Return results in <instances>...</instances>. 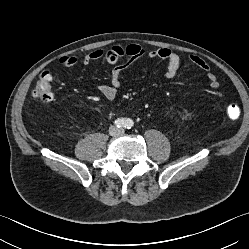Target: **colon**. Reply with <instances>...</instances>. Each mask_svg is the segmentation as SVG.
Here are the masks:
<instances>
[{"label": "colon", "instance_id": "obj_1", "mask_svg": "<svg viewBox=\"0 0 249 249\" xmlns=\"http://www.w3.org/2000/svg\"><path fill=\"white\" fill-rule=\"evenodd\" d=\"M33 97L42 102H50L53 99V76L51 72H42L36 80L33 90ZM229 115L232 118L239 116V109L235 105L229 107Z\"/></svg>", "mask_w": 249, "mask_h": 249}]
</instances>
